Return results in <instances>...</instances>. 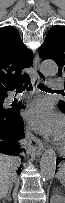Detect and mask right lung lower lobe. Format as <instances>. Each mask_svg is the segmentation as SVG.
<instances>
[{
  "label": "right lung lower lobe",
  "mask_w": 65,
  "mask_h": 203,
  "mask_svg": "<svg viewBox=\"0 0 65 203\" xmlns=\"http://www.w3.org/2000/svg\"><path fill=\"white\" fill-rule=\"evenodd\" d=\"M5 97H7V92L0 94V100L3 101ZM21 108V105H17L8 109H0V140H3L0 141V153L17 155L22 151L17 144L22 137H25L24 122L19 115ZM18 174H20V169Z\"/></svg>",
  "instance_id": "obj_1"
}]
</instances>
